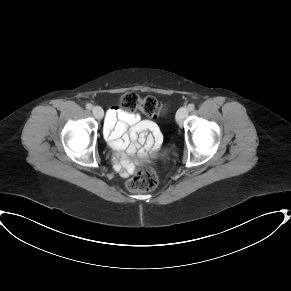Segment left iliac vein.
Segmentation results:
<instances>
[{
	"label": "left iliac vein",
	"mask_w": 291,
	"mask_h": 291,
	"mask_svg": "<svg viewBox=\"0 0 291 291\" xmlns=\"http://www.w3.org/2000/svg\"><path fill=\"white\" fill-rule=\"evenodd\" d=\"M188 116V109L186 107L180 108L176 113V121L182 124L183 120Z\"/></svg>",
	"instance_id": "4c4485c4"
}]
</instances>
